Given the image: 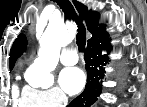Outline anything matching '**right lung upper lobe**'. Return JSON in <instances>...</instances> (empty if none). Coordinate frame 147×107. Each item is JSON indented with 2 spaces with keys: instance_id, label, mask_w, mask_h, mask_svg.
I'll list each match as a JSON object with an SVG mask.
<instances>
[{
  "instance_id": "cb5924a9",
  "label": "right lung upper lobe",
  "mask_w": 147,
  "mask_h": 107,
  "mask_svg": "<svg viewBox=\"0 0 147 107\" xmlns=\"http://www.w3.org/2000/svg\"><path fill=\"white\" fill-rule=\"evenodd\" d=\"M76 9L80 13V18L85 19L86 25L92 38L88 40L89 42H96L102 39L108 33L105 31V26L99 24V14L97 12L88 11L87 7L78 1H73ZM27 40L23 34H20L18 38L14 41L12 49L10 51V66L14 67L16 60L21 56L22 52L26 49Z\"/></svg>"
}]
</instances>
